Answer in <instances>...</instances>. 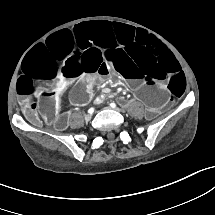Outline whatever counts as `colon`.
Here are the masks:
<instances>
[{
    "label": "colon",
    "mask_w": 215,
    "mask_h": 215,
    "mask_svg": "<svg viewBox=\"0 0 215 215\" xmlns=\"http://www.w3.org/2000/svg\"><path fill=\"white\" fill-rule=\"evenodd\" d=\"M39 106L45 114V119L48 124H53L57 121L58 111L55 98L47 95H43L39 100ZM23 111L26 114L27 119L31 121H37V115L35 112V105L30 103H24L22 105Z\"/></svg>",
    "instance_id": "5ec220e1"
}]
</instances>
